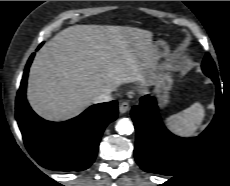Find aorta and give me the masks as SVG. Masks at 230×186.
<instances>
[{
	"label": "aorta",
	"instance_id": "obj_1",
	"mask_svg": "<svg viewBox=\"0 0 230 186\" xmlns=\"http://www.w3.org/2000/svg\"><path fill=\"white\" fill-rule=\"evenodd\" d=\"M116 131L121 135H130L134 131L133 124L128 118H121L116 123Z\"/></svg>",
	"mask_w": 230,
	"mask_h": 186
}]
</instances>
